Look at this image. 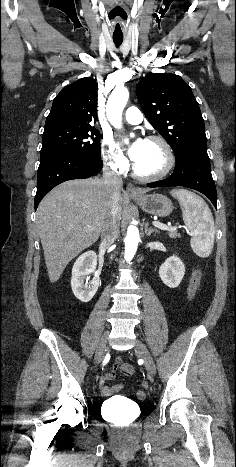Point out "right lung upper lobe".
I'll return each mask as SVG.
<instances>
[{
    "label": "right lung upper lobe",
    "mask_w": 236,
    "mask_h": 467,
    "mask_svg": "<svg viewBox=\"0 0 236 467\" xmlns=\"http://www.w3.org/2000/svg\"><path fill=\"white\" fill-rule=\"evenodd\" d=\"M97 83L82 78L66 87L55 97L45 128L58 125L91 126L97 120Z\"/></svg>",
    "instance_id": "cb5924a9"
}]
</instances>
